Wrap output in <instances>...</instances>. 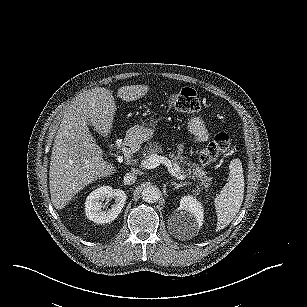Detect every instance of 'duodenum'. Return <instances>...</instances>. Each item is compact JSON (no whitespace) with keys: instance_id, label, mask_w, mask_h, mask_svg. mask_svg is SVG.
Segmentation results:
<instances>
[{"instance_id":"obj_1","label":"duodenum","mask_w":307,"mask_h":307,"mask_svg":"<svg viewBox=\"0 0 307 307\" xmlns=\"http://www.w3.org/2000/svg\"><path fill=\"white\" fill-rule=\"evenodd\" d=\"M136 151V145L132 141H128L123 145V153L127 163H130L134 153Z\"/></svg>"}]
</instances>
